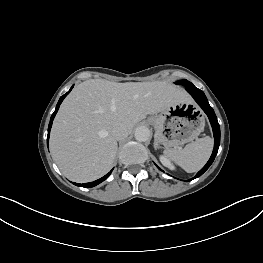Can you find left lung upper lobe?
<instances>
[{"mask_svg": "<svg viewBox=\"0 0 263 263\" xmlns=\"http://www.w3.org/2000/svg\"><path fill=\"white\" fill-rule=\"evenodd\" d=\"M177 85H184V86H186V87H190V86H192L193 84L191 83V82H189V81H187V80H180V81H177V82H175Z\"/></svg>", "mask_w": 263, "mask_h": 263, "instance_id": "obj_1", "label": "left lung upper lobe"}]
</instances>
